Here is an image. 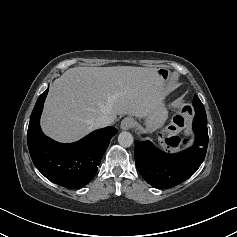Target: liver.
I'll return each instance as SVG.
<instances>
[{
	"instance_id": "liver-1",
	"label": "liver",
	"mask_w": 237,
	"mask_h": 237,
	"mask_svg": "<svg viewBox=\"0 0 237 237\" xmlns=\"http://www.w3.org/2000/svg\"><path fill=\"white\" fill-rule=\"evenodd\" d=\"M164 83L156 68L75 67L51 84L41 118L44 133L73 142L95 129L93 121L116 115L145 117L161 99Z\"/></svg>"
}]
</instances>
